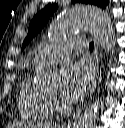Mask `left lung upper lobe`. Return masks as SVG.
I'll return each instance as SVG.
<instances>
[{
  "label": "left lung upper lobe",
  "instance_id": "obj_1",
  "mask_svg": "<svg viewBox=\"0 0 125 128\" xmlns=\"http://www.w3.org/2000/svg\"><path fill=\"white\" fill-rule=\"evenodd\" d=\"M86 3V4H93L99 6L101 8H105L108 4V0H72V3ZM57 4H49L44 7L40 12H38L34 18L31 20L28 34L24 39L22 49L30 42V40L41 31V29L46 25L50 17L54 14L57 10Z\"/></svg>",
  "mask_w": 125,
  "mask_h": 128
}]
</instances>
